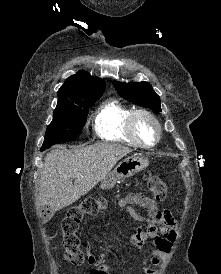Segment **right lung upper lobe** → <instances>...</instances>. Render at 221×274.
<instances>
[{"instance_id": "right-lung-upper-lobe-1", "label": "right lung upper lobe", "mask_w": 221, "mask_h": 274, "mask_svg": "<svg viewBox=\"0 0 221 274\" xmlns=\"http://www.w3.org/2000/svg\"><path fill=\"white\" fill-rule=\"evenodd\" d=\"M106 84L98 77H91L84 71L69 77L59 89L58 103L73 101L80 97L102 94Z\"/></svg>"}]
</instances>
